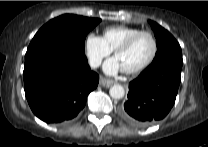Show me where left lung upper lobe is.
<instances>
[{
  "instance_id": "obj_1",
  "label": "left lung upper lobe",
  "mask_w": 208,
  "mask_h": 147,
  "mask_svg": "<svg viewBox=\"0 0 208 147\" xmlns=\"http://www.w3.org/2000/svg\"><path fill=\"white\" fill-rule=\"evenodd\" d=\"M148 22L154 30L158 48L152 64L163 59H172L179 63H183L181 47L176 39L156 22L151 20Z\"/></svg>"
}]
</instances>
